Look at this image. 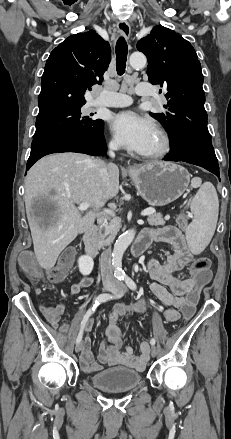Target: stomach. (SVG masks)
<instances>
[{"label":"stomach","mask_w":231,"mask_h":439,"mask_svg":"<svg viewBox=\"0 0 231 439\" xmlns=\"http://www.w3.org/2000/svg\"><path fill=\"white\" fill-rule=\"evenodd\" d=\"M138 194L152 206L167 205L188 189V171L173 163L155 162L129 171Z\"/></svg>","instance_id":"1"}]
</instances>
